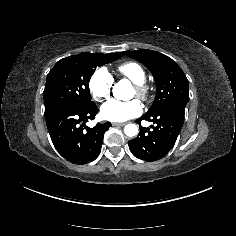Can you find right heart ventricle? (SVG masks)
<instances>
[{
    "instance_id": "right-heart-ventricle-1",
    "label": "right heart ventricle",
    "mask_w": 236,
    "mask_h": 236,
    "mask_svg": "<svg viewBox=\"0 0 236 236\" xmlns=\"http://www.w3.org/2000/svg\"><path fill=\"white\" fill-rule=\"evenodd\" d=\"M119 74L125 79L132 82H143L146 74L143 67L134 61H127L117 67Z\"/></svg>"
}]
</instances>
